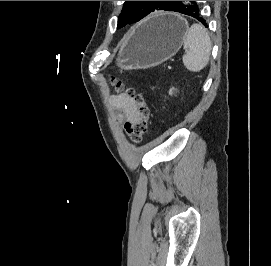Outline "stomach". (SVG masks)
<instances>
[{
    "mask_svg": "<svg viewBox=\"0 0 271 266\" xmlns=\"http://www.w3.org/2000/svg\"><path fill=\"white\" fill-rule=\"evenodd\" d=\"M187 22L175 13H159L137 26L122 43L116 65L121 70L161 64L180 49Z\"/></svg>",
    "mask_w": 271,
    "mask_h": 266,
    "instance_id": "0dacf381",
    "label": "stomach"
}]
</instances>
